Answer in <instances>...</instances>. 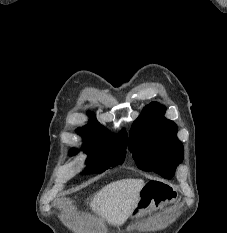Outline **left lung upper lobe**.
<instances>
[{"mask_svg":"<svg viewBox=\"0 0 227 233\" xmlns=\"http://www.w3.org/2000/svg\"><path fill=\"white\" fill-rule=\"evenodd\" d=\"M165 110L157 102L143 109L131 128L129 150L140 169L171 179L183 160L184 150L176 135L177 126L164 117Z\"/></svg>","mask_w":227,"mask_h":233,"instance_id":"obj_1","label":"left lung upper lobe"}]
</instances>
